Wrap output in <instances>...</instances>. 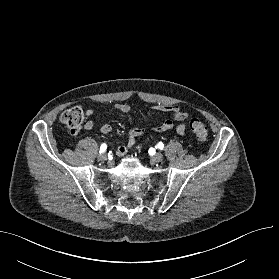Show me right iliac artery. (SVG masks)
<instances>
[{"label":"right iliac artery","mask_w":279,"mask_h":279,"mask_svg":"<svg viewBox=\"0 0 279 279\" xmlns=\"http://www.w3.org/2000/svg\"><path fill=\"white\" fill-rule=\"evenodd\" d=\"M106 148H107V145L104 143V144H102L101 145V147H100V153H104L105 151H106Z\"/></svg>","instance_id":"1"}]
</instances>
